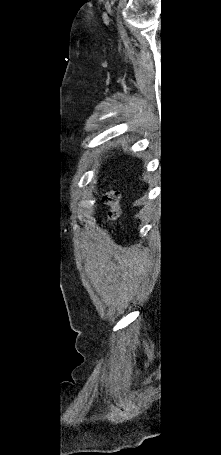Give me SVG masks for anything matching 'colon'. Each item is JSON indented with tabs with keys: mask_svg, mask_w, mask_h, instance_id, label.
Returning a JSON list of instances; mask_svg holds the SVG:
<instances>
[{
	"mask_svg": "<svg viewBox=\"0 0 221 455\" xmlns=\"http://www.w3.org/2000/svg\"><path fill=\"white\" fill-rule=\"evenodd\" d=\"M103 201L109 207L108 218L115 220L120 215L119 199L120 195L116 191H107L102 195Z\"/></svg>",
	"mask_w": 221,
	"mask_h": 455,
	"instance_id": "1",
	"label": "colon"
}]
</instances>
